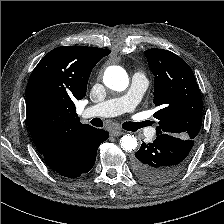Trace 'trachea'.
<instances>
[{"instance_id": "obj_1", "label": "trachea", "mask_w": 224, "mask_h": 224, "mask_svg": "<svg viewBox=\"0 0 224 224\" xmlns=\"http://www.w3.org/2000/svg\"><path fill=\"white\" fill-rule=\"evenodd\" d=\"M92 124L96 127H102L103 123L100 119L95 118L92 121ZM147 126L146 122H124L122 124L123 129L127 130V131H137L138 129Z\"/></svg>"}]
</instances>
